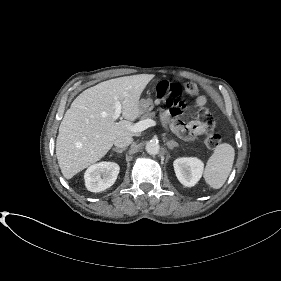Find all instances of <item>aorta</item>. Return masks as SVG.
Segmentation results:
<instances>
[{"mask_svg": "<svg viewBox=\"0 0 281 281\" xmlns=\"http://www.w3.org/2000/svg\"><path fill=\"white\" fill-rule=\"evenodd\" d=\"M146 151L150 155H156L160 151V145L156 141H149L146 144Z\"/></svg>", "mask_w": 281, "mask_h": 281, "instance_id": "762f6f07", "label": "aorta"}]
</instances>
